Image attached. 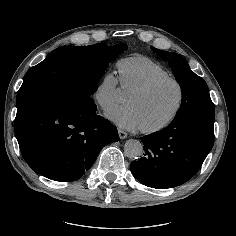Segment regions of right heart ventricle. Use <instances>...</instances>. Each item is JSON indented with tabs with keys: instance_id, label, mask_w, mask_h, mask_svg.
Returning <instances> with one entry per match:
<instances>
[{
	"instance_id": "right-heart-ventricle-1",
	"label": "right heart ventricle",
	"mask_w": 236,
	"mask_h": 236,
	"mask_svg": "<svg viewBox=\"0 0 236 236\" xmlns=\"http://www.w3.org/2000/svg\"><path fill=\"white\" fill-rule=\"evenodd\" d=\"M117 66L120 85L126 91H134L159 78L171 77L165 67L142 55L121 59Z\"/></svg>"
}]
</instances>
